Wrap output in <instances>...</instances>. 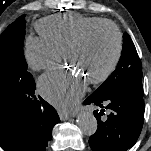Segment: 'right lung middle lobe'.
I'll return each instance as SVG.
<instances>
[{
    "label": "right lung middle lobe",
    "instance_id": "right-lung-middle-lobe-1",
    "mask_svg": "<svg viewBox=\"0 0 151 151\" xmlns=\"http://www.w3.org/2000/svg\"><path fill=\"white\" fill-rule=\"evenodd\" d=\"M24 37L25 15L17 18L0 35V76L8 79L6 89L0 93V100L20 107L25 93L21 79L29 75L23 52Z\"/></svg>",
    "mask_w": 151,
    "mask_h": 151
}]
</instances>
